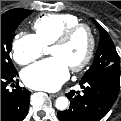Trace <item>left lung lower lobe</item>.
Masks as SVG:
<instances>
[{
    "label": "left lung lower lobe",
    "mask_w": 121,
    "mask_h": 121,
    "mask_svg": "<svg viewBox=\"0 0 121 121\" xmlns=\"http://www.w3.org/2000/svg\"><path fill=\"white\" fill-rule=\"evenodd\" d=\"M83 95L71 90L66 94L71 100L68 110L59 111L61 121H99L114 104L120 89V79L96 76L80 81Z\"/></svg>",
    "instance_id": "left-lung-lower-lobe-1"
}]
</instances>
